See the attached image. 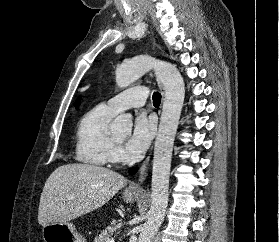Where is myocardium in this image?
I'll use <instances>...</instances> for the list:
<instances>
[{
	"mask_svg": "<svg viewBox=\"0 0 279 242\" xmlns=\"http://www.w3.org/2000/svg\"><path fill=\"white\" fill-rule=\"evenodd\" d=\"M114 140V143L117 145V146H121V143L117 142L115 139Z\"/></svg>",
	"mask_w": 279,
	"mask_h": 242,
	"instance_id": "1",
	"label": "myocardium"
}]
</instances>
